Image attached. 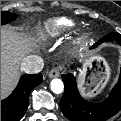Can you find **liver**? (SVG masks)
<instances>
[{
	"label": "liver",
	"mask_w": 121,
	"mask_h": 121,
	"mask_svg": "<svg viewBox=\"0 0 121 121\" xmlns=\"http://www.w3.org/2000/svg\"><path fill=\"white\" fill-rule=\"evenodd\" d=\"M36 47L33 38L22 36L14 28L1 27V99L15 87L21 63Z\"/></svg>",
	"instance_id": "1"
}]
</instances>
